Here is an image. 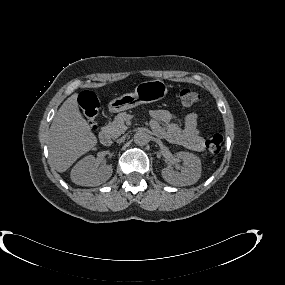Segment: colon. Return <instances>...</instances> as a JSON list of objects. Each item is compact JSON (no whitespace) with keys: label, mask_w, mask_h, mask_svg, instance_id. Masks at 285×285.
<instances>
[{"label":"colon","mask_w":285,"mask_h":285,"mask_svg":"<svg viewBox=\"0 0 285 285\" xmlns=\"http://www.w3.org/2000/svg\"><path fill=\"white\" fill-rule=\"evenodd\" d=\"M183 106H193L200 100V94L190 87L182 88L178 93ZM79 103L92 129L97 128L96 117L98 113V99L89 91H84L79 96ZM222 136L214 134L206 141V148L212 154H217L222 149Z\"/></svg>","instance_id":"1"}]
</instances>
